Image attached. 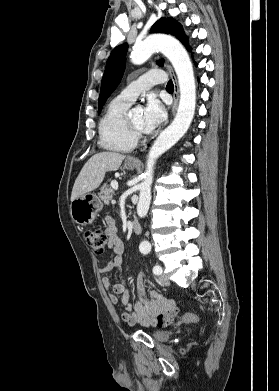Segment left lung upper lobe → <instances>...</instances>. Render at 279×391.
Wrapping results in <instances>:
<instances>
[{
  "label": "left lung upper lobe",
  "instance_id": "5c2ea615",
  "mask_svg": "<svg viewBox=\"0 0 279 391\" xmlns=\"http://www.w3.org/2000/svg\"><path fill=\"white\" fill-rule=\"evenodd\" d=\"M151 33H166L174 35L181 41L183 45L190 51L191 48L188 45L186 35L182 26L172 18H161L151 28ZM128 50V44H122L117 46L111 52L107 63L105 72L102 78L101 91L98 101V113L101 112L103 105L108 97L116 89L121 81L125 70V57ZM162 66V62H158Z\"/></svg>",
  "mask_w": 279,
  "mask_h": 391
}]
</instances>
